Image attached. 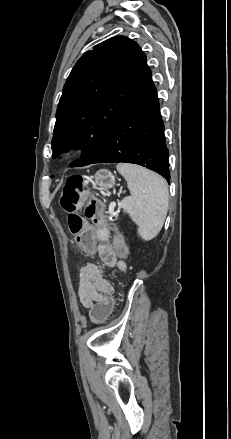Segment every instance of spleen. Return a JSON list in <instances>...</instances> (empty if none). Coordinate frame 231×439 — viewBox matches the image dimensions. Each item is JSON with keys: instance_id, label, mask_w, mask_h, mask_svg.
<instances>
[{"instance_id": "spleen-1", "label": "spleen", "mask_w": 231, "mask_h": 439, "mask_svg": "<svg viewBox=\"0 0 231 439\" xmlns=\"http://www.w3.org/2000/svg\"><path fill=\"white\" fill-rule=\"evenodd\" d=\"M118 172L125 178L131 195L120 205L139 226V233L149 240L161 230L168 210V187L166 181L143 167L128 163L117 165ZM109 232L98 230L97 236L106 239Z\"/></svg>"}]
</instances>
